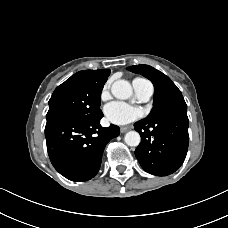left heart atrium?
I'll list each match as a JSON object with an SVG mask.
<instances>
[{"label":"left heart atrium","instance_id":"left-heart-atrium-1","mask_svg":"<svg viewBox=\"0 0 228 228\" xmlns=\"http://www.w3.org/2000/svg\"><path fill=\"white\" fill-rule=\"evenodd\" d=\"M104 114L109 122L117 125H125L142 117L143 112L138 107L121 101H114L105 106Z\"/></svg>","mask_w":228,"mask_h":228}]
</instances>
